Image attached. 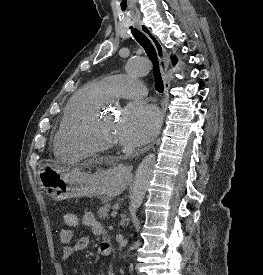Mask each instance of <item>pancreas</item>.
Wrapping results in <instances>:
<instances>
[{"label":"pancreas","mask_w":263,"mask_h":275,"mask_svg":"<svg viewBox=\"0 0 263 275\" xmlns=\"http://www.w3.org/2000/svg\"><path fill=\"white\" fill-rule=\"evenodd\" d=\"M101 201L104 204V206H102L97 213L100 219H105L108 218V213L111 208V204L109 203V199L106 197L101 198Z\"/></svg>","instance_id":"pancreas-1"}]
</instances>
